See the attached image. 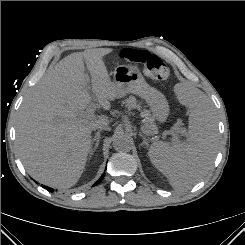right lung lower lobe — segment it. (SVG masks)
Instances as JSON below:
<instances>
[{
	"instance_id": "obj_1",
	"label": "right lung lower lobe",
	"mask_w": 245,
	"mask_h": 245,
	"mask_svg": "<svg viewBox=\"0 0 245 245\" xmlns=\"http://www.w3.org/2000/svg\"><path fill=\"white\" fill-rule=\"evenodd\" d=\"M103 177H104V174L100 177V179H99L93 186H95V185H97L98 183H100V182L102 181ZM44 188H46V189L49 190V191L52 190V188L47 187V186H44Z\"/></svg>"
}]
</instances>
